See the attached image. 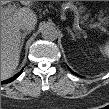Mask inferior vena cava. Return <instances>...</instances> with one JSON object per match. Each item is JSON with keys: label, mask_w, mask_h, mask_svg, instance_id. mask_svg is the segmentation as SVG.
Listing matches in <instances>:
<instances>
[{"label": "inferior vena cava", "mask_w": 109, "mask_h": 109, "mask_svg": "<svg viewBox=\"0 0 109 109\" xmlns=\"http://www.w3.org/2000/svg\"><path fill=\"white\" fill-rule=\"evenodd\" d=\"M34 24L30 21H25L20 24V29L26 32H31L34 29Z\"/></svg>", "instance_id": "1"}]
</instances>
